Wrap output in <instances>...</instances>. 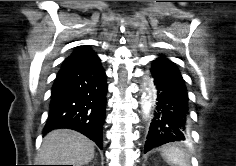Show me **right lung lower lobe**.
<instances>
[{
	"label": "right lung lower lobe",
	"mask_w": 236,
	"mask_h": 166,
	"mask_svg": "<svg viewBox=\"0 0 236 166\" xmlns=\"http://www.w3.org/2000/svg\"><path fill=\"white\" fill-rule=\"evenodd\" d=\"M106 78L100 59L86 65L62 67L52 87L44 134L58 128L73 129L102 149Z\"/></svg>",
	"instance_id": "1"
}]
</instances>
